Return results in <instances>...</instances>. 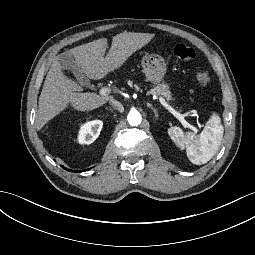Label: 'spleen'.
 <instances>
[{
  "label": "spleen",
  "instance_id": "1",
  "mask_svg": "<svg viewBox=\"0 0 255 255\" xmlns=\"http://www.w3.org/2000/svg\"><path fill=\"white\" fill-rule=\"evenodd\" d=\"M211 123L199 137L194 134L190 135V143L187 148L186 155L189 161L195 165L207 163L218 151L221 144L224 127L221 124V117L217 112L210 115ZM168 134L174 144L184 141V133L177 126L168 128Z\"/></svg>",
  "mask_w": 255,
  "mask_h": 255
}]
</instances>
